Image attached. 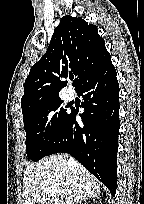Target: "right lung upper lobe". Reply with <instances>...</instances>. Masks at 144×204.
Instances as JSON below:
<instances>
[{
    "label": "right lung upper lobe",
    "instance_id": "1",
    "mask_svg": "<svg viewBox=\"0 0 144 204\" xmlns=\"http://www.w3.org/2000/svg\"><path fill=\"white\" fill-rule=\"evenodd\" d=\"M111 59L97 27L79 17L64 16L42 58L30 69L21 99L23 117L59 98L60 78L74 74L75 90Z\"/></svg>",
    "mask_w": 144,
    "mask_h": 204
}]
</instances>
